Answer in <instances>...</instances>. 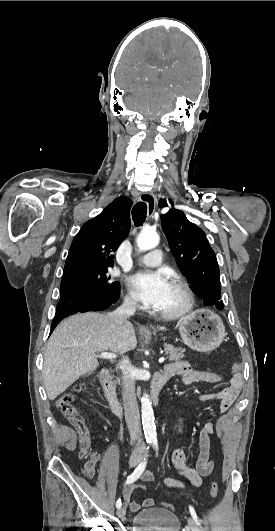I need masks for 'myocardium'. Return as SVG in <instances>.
<instances>
[{"label": "myocardium", "mask_w": 275, "mask_h": 531, "mask_svg": "<svg viewBox=\"0 0 275 531\" xmlns=\"http://www.w3.org/2000/svg\"><path fill=\"white\" fill-rule=\"evenodd\" d=\"M172 282L181 290L183 294L184 302L182 307L172 312H159L155 309L156 313L160 317L169 320L179 319L188 314L191 311L194 303L193 292L187 282L178 276H174Z\"/></svg>", "instance_id": "f54148a6"}]
</instances>
